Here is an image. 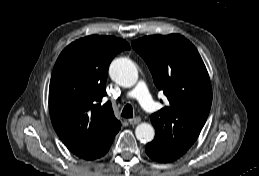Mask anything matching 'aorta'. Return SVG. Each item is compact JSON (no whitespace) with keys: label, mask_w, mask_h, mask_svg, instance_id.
Listing matches in <instances>:
<instances>
[{"label":"aorta","mask_w":259,"mask_h":176,"mask_svg":"<svg viewBox=\"0 0 259 176\" xmlns=\"http://www.w3.org/2000/svg\"><path fill=\"white\" fill-rule=\"evenodd\" d=\"M109 75L113 81L123 87H132L138 80V71L134 63L127 58H117L109 67ZM137 139L142 143L151 142L155 136V130L148 123H141L135 129Z\"/></svg>","instance_id":"aorta-1"}]
</instances>
